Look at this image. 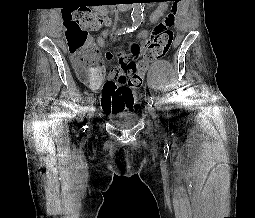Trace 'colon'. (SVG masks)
Returning <instances> with one entry per match:
<instances>
[{
	"label": "colon",
	"instance_id": "colon-1",
	"mask_svg": "<svg viewBox=\"0 0 255 218\" xmlns=\"http://www.w3.org/2000/svg\"><path fill=\"white\" fill-rule=\"evenodd\" d=\"M164 1L174 3L171 13L151 32L143 33L139 41L129 44L132 57L126 64L125 72L116 73L113 78L109 77L104 66V59H111L113 54L107 52L103 56L90 34L107 26L110 19L84 7L64 10L65 35L74 72L85 86L93 91H102V107L106 112L133 111L135 105L133 89L141 87L148 65L163 57L170 49L173 32L169 27L175 22L177 0Z\"/></svg>",
	"mask_w": 255,
	"mask_h": 218
}]
</instances>
